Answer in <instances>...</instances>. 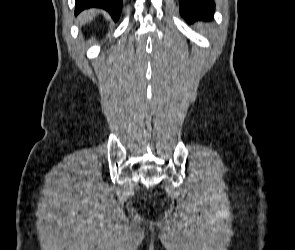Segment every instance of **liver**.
<instances>
[{"mask_svg":"<svg viewBox=\"0 0 295 250\" xmlns=\"http://www.w3.org/2000/svg\"><path fill=\"white\" fill-rule=\"evenodd\" d=\"M95 15H96V10L84 11L79 15L78 20L80 24L82 25L91 21L93 17H95Z\"/></svg>","mask_w":295,"mask_h":250,"instance_id":"1","label":"liver"}]
</instances>
